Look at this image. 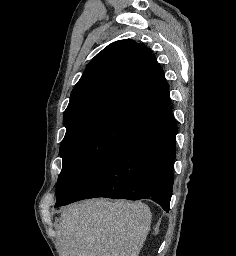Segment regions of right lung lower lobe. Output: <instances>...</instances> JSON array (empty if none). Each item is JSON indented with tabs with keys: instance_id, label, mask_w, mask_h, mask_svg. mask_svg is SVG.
I'll list each match as a JSON object with an SVG mask.
<instances>
[{
	"instance_id": "98d812e1",
	"label": "right lung lower lobe",
	"mask_w": 236,
	"mask_h": 256,
	"mask_svg": "<svg viewBox=\"0 0 236 256\" xmlns=\"http://www.w3.org/2000/svg\"><path fill=\"white\" fill-rule=\"evenodd\" d=\"M172 111L145 127L105 158L64 201L94 198L151 199L168 212L173 186L175 136Z\"/></svg>"
}]
</instances>
